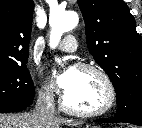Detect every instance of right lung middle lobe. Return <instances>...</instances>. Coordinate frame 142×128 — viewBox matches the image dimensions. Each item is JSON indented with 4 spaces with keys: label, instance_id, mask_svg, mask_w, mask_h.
Instances as JSON below:
<instances>
[{
    "label": "right lung middle lobe",
    "instance_id": "right-lung-middle-lobe-1",
    "mask_svg": "<svg viewBox=\"0 0 142 128\" xmlns=\"http://www.w3.org/2000/svg\"><path fill=\"white\" fill-rule=\"evenodd\" d=\"M34 84L26 65L0 67V104L30 106Z\"/></svg>",
    "mask_w": 142,
    "mask_h": 128
}]
</instances>
